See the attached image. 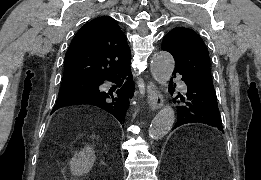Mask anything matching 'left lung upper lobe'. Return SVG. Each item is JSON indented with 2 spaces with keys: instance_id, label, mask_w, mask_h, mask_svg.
Here are the masks:
<instances>
[{
  "instance_id": "left-lung-upper-lobe-1",
  "label": "left lung upper lobe",
  "mask_w": 261,
  "mask_h": 180,
  "mask_svg": "<svg viewBox=\"0 0 261 180\" xmlns=\"http://www.w3.org/2000/svg\"><path fill=\"white\" fill-rule=\"evenodd\" d=\"M162 50L170 52L179 66L213 87L210 59L201 37L192 29L176 27L163 39Z\"/></svg>"
}]
</instances>
